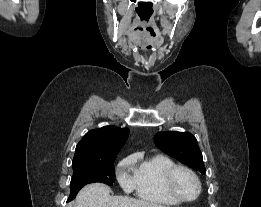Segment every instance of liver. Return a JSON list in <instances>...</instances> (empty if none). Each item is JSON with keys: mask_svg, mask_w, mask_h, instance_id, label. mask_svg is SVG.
<instances>
[{"mask_svg": "<svg viewBox=\"0 0 261 207\" xmlns=\"http://www.w3.org/2000/svg\"><path fill=\"white\" fill-rule=\"evenodd\" d=\"M110 191L102 183L86 185L78 193L75 203L68 207H166L127 196H111Z\"/></svg>", "mask_w": 261, "mask_h": 207, "instance_id": "6515ba94", "label": "liver"}]
</instances>
